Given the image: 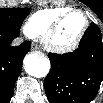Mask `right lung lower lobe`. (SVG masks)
<instances>
[{
    "mask_svg": "<svg viewBox=\"0 0 103 103\" xmlns=\"http://www.w3.org/2000/svg\"><path fill=\"white\" fill-rule=\"evenodd\" d=\"M19 34L20 32L0 28V102L11 99L23 58L31 46L29 41L13 46L12 41Z\"/></svg>",
    "mask_w": 103,
    "mask_h": 103,
    "instance_id": "1",
    "label": "right lung lower lobe"
}]
</instances>
